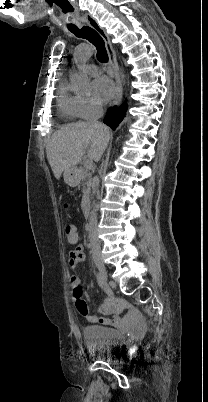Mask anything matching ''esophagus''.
Instances as JSON below:
<instances>
[{
  "instance_id": "34e87169",
  "label": "esophagus",
  "mask_w": 208,
  "mask_h": 402,
  "mask_svg": "<svg viewBox=\"0 0 208 402\" xmlns=\"http://www.w3.org/2000/svg\"><path fill=\"white\" fill-rule=\"evenodd\" d=\"M82 22L87 23L88 25H90V27H92L94 30H96V32L102 37V39L105 42L110 66L113 69L115 83H116V95L112 102V105H117L122 100L123 87H122V82H121V78H120V72H119V66H118V62H117L116 53L111 44L110 38L108 37L105 29L101 25H99L96 18H94L92 15H90L88 13L84 14L82 17Z\"/></svg>"
}]
</instances>
